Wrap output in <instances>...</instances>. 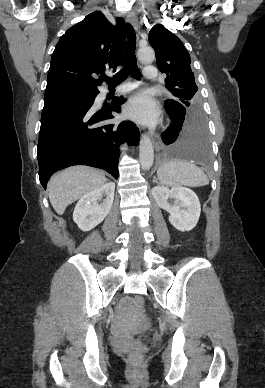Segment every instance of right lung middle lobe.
I'll return each instance as SVG.
<instances>
[{"label": "right lung middle lobe", "mask_w": 265, "mask_h": 388, "mask_svg": "<svg viewBox=\"0 0 265 388\" xmlns=\"http://www.w3.org/2000/svg\"><path fill=\"white\" fill-rule=\"evenodd\" d=\"M93 96L94 95H75L45 99L42 112L50 111L52 109H56L70 104L85 103L91 100Z\"/></svg>", "instance_id": "obj_1"}]
</instances>
